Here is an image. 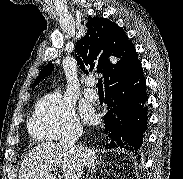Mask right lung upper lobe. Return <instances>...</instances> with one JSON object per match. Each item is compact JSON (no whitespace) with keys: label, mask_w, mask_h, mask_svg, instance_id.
<instances>
[{"label":"right lung upper lobe","mask_w":183,"mask_h":179,"mask_svg":"<svg viewBox=\"0 0 183 179\" xmlns=\"http://www.w3.org/2000/svg\"><path fill=\"white\" fill-rule=\"evenodd\" d=\"M86 35L76 42L75 56L83 72L103 74L105 86L133 72L140 64L134 45L123 29L104 18H92L87 23ZM53 64L48 63L34 85L50 75Z\"/></svg>","instance_id":"right-lung-upper-lobe-1"}]
</instances>
